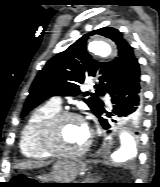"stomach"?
Returning a JSON list of instances; mask_svg holds the SVG:
<instances>
[{
  "instance_id": "0dacf381",
  "label": "stomach",
  "mask_w": 160,
  "mask_h": 187,
  "mask_svg": "<svg viewBox=\"0 0 160 187\" xmlns=\"http://www.w3.org/2000/svg\"><path fill=\"white\" fill-rule=\"evenodd\" d=\"M82 170L80 164L72 160L57 161L49 174L43 175L39 183H72Z\"/></svg>"
}]
</instances>
